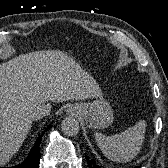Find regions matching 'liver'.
<instances>
[{"label": "liver", "instance_id": "liver-1", "mask_svg": "<svg viewBox=\"0 0 168 168\" xmlns=\"http://www.w3.org/2000/svg\"><path fill=\"white\" fill-rule=\"evenodd\" d=\"M96 81L61 51L21 54L0 65V165L17 153L32 126L29 111L50 101L100 97Z\"/></svg>", "mask_w": 168, "mask_h": 168}]
</instances>
